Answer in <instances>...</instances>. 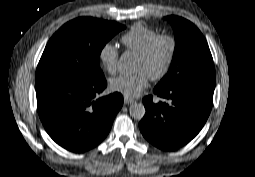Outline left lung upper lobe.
<instances>
[{"label": "left lung upper lobe", "instance_id": "1", "mask_svg": "<svg viewBox=\"0 0 255 177\" xmlns=\"http://www.w3.org/2000/svg\"><path fill=\"white\" fill-rule=\"evenodd\" d=\"M175 33V50L168 73L156 89H168L196 77L215 76L208 44L190 21L177 16L166 17Z\"/></svg>", "mask_w": 255, "mask_h": 177}]
</instances>
